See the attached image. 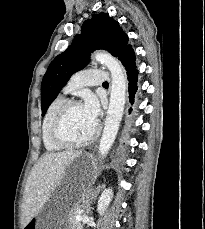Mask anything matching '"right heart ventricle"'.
<instances>
[{
    "label": "right heart ventricle",
    "mask_w": 205,
    "mask_h": 229,
    "mask_svg": "<svg viewBox=\"0 0 205 229\" xmlns=\"http://www.w3.org/2000/svg\"><path fill=\"white\" fill-rule=\"evenodd\" d=\"M65 98L63 96L56 97L48 106L46 113L44 115L43 121H42V141L44 144V147L49 152H55L63 147L56 144L52 137H51V127L53 123V119L58 111V109L61 107V105L65 102Z\"/></svg>",
    "instance_id": "right-heart-ventricle-1"
}]
</instances>
